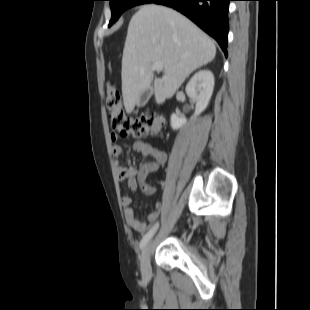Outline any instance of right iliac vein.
<instances>
[{
    "mask_svg": "<svg viewBox=\"0 0 310 310\" xmlns=\"http://www.w3.org/2000/svg\"><path fill=\"white\" fill-rule=\"evenodd\" d=\"M152 249V241L146 243L141 255V272L146 278L151 276L150 254Z\"/></svg>",
    "mask_w": 310,
    "mask_h": 310,
    "instance_id": "1",
    "label": "right iliac vein"
}]
</instances>
